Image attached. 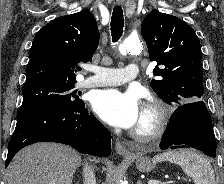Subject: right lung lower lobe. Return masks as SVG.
<instances>
[{
	"label": "right lung lower lobe",
	"mask_w": 224,
	"mask_h": 184,
	"mask_svg": "<svg viewBox=\"0 0 224 184\" xmlns=\"http://www.w3.org/2000/svg\"><path fill=\"white\" fill-rule=\"evenodd\" d=\"M42 141L67 144L80 153L95 156L104 157L111 153L110 132L88 112L84 102L73 108L48 106L17 118L5 168L20 149Z\"/></svg>",
	"instance_id": "1"
}]
</instances>
